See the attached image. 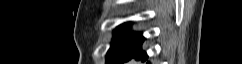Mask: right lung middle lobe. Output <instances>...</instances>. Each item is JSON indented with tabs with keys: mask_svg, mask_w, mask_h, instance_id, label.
<instances>
[{
	"mask_svg": "<svg viewBox=\"0 0 242 64\" xmlns=\"http://www.w3.org/2000/svg\"><path fill=\"white\" fill-rule=\"evenodd\" d=\"M130 24L124 23L117 28L107 53L106 64H119L142 51L140 47L145 38L139 33L129 31Z\"/></svg>",
	"mask_w": 242,
	"mask_h": 64,
	"instance_id": "right-lung-middle-lobe-1",
	"label": "right lung middle lobe"
}]
</instances>
